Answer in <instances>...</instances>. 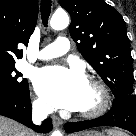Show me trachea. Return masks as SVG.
<instances>
[{
	"mask_svg": "<svg viewBox=\"0 0 136 136\" xmlns=\"http://www.w3.org/2000/svg\"><path fill=\"white\" fill-rule=\"evenodd\" d=\"M50 12L51 0H41V18L45 27H47Z\"/></svg>",
	"mask_w": 136,
	"mask_h": 136,
	"instance_id": "3493384b",
	"label": "trachea"
}]
</instances>
